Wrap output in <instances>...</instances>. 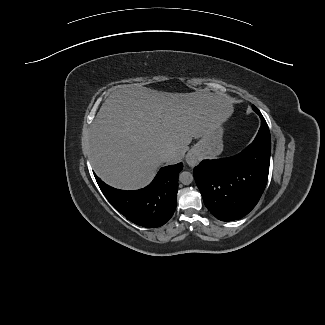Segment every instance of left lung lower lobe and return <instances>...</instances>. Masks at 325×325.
<instances>
[{"instance_id": "1", "label": "left lung lower lobe", "mask_w": 325, "mask_h": 325, "mask_svg": "<svg viewBox=\"0 0 325 325\" xmlns=\"http://www.w3.org/2000/svg\"><path fill=\"white\" fill-rule=\"evenodd\" d=\"M261 127L241 153L203 160L193 170L205 206L219 220L233 221L248 214L259 201L268 179L271 137L260 112Z\"/></svg>"}]
</instances>
